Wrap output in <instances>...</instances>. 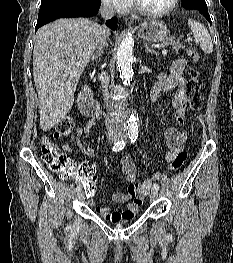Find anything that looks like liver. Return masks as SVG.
<instances>
[{"label":"liver","mask_w":233,"mask_h":263,"mask_svg":"<svg viewBox=\"0 0 233 263\" xmlns=\"http://www.w3.org/2000/svg\"><path fill=\"white\" fill-rule=\"evenodd\" d=\"M99 27L88 19L67 18L38 30L33 50V77L43 131L52 129L71 109L79 78L100 37Z\"/></svg>","instance_id":"1"}]
</instances>
